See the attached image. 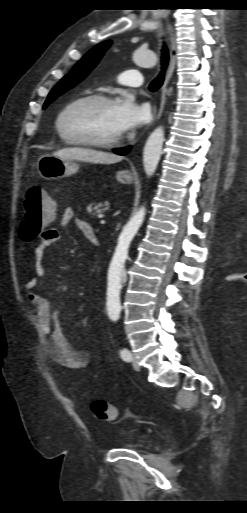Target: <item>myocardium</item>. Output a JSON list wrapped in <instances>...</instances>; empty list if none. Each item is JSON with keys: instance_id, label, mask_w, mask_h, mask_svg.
<instances>
[{"instance_id": "1", "label": "myocardium", "mask_w": 247, "mask_h": 513, "mask_svg": "<svg viewBox=\"0 0 247 513\" xmlns=\"http://www.w3.org/2000/svg\"><path fill=\"white\" fill-rule=\"evenodd\" d=\"M87 101H99L104 103H111L115 104V100L113 97L101 94V93H91L83 96H79L75 98L74 100L68 102L65 104L61 110L59 111L56 120H55V127L58 132V134L69 144L74 145H83V146H92V147H98V148H108L115 146L119 144L122 140V135L116 136L111 139L107 140H92V139H84V138H71L67 136L64 131L62 130L61 123L62 120L67 113V111L75 104L81 103V102H87Z\"/></svg>"}]
</instances>
